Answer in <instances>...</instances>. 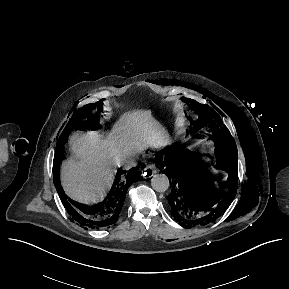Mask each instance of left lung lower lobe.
Segmentation results:
<instances>
[{
    "mask_svg": "<svg viewBox=\"0 0 289 289\" xmlns=\"http://www.w3.org/2000/svg\"><path fill=\"white\" fill-rule=\"evenodd\" d=\"M195 160V154L189 150L170 149L165 157L163 171L172 187L170 195L166 197L172 216L186 228L215 221L231 204L237 190L238 167L235 162L223 168L229 173V191L202 195L192 181Z\"/></svg>",
    "mask_w": 289,
    "mask_h": 289,
    "instance_id": "1",
    "label": "left lung lower lobe"
}]
</instances>
